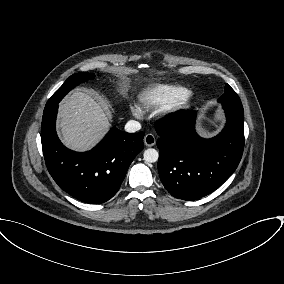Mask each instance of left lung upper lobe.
I'll return each mask as SVG.
<instances>
[{
  "mask_svg": "<svg viewBox=\"0 0 284 284\" xmlns=\"http://www.w3.org/2000/svg\"><path fill=\"white\" fill-rule=\"evenodd\" d=\"M218 101L224 104L242 107L240 98L228 84L225 86V93L218 99Z\"/></svg>",
  "mask_w": 284,
  "mask_h": 284,
  "instance_id": "left-lung-upper-lobe-1",
  "label": "left lung upper lobe"
}]
</instances>
